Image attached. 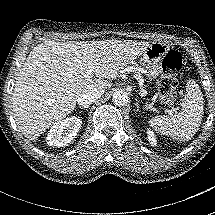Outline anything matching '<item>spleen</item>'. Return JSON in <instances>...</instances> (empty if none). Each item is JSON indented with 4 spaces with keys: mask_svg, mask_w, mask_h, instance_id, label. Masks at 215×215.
Returning a JSON list of instances; mask_svg holds the SVG:
<instances>
[{
    "mask_svg": "<svg viewBox=\"0 0 215 215\" xmlns=\"http://www.w3.org/2000/svg\"><path fill=\"white\" fill-rule=\"evenodd\" d=\"M180 112L150 118L147 123L157 133L173 140L186 142L199 128L202 119L203 97L200 88L188 81L186 93L180 103Z\"/></svg>",
    "mask_w": 215,
    "mask_h": 215,
    "instance_id": "obj_1",
    "label": "spleen"
}]
</instances>
